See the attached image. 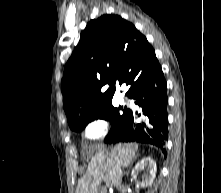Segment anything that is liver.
<instances>
[{
    "label": "liver",
    "mask_w": 221,
    "mask_h": 193,
    "mask_svg": "<svg viewBox=\"0 0 221 193\" xmlns=\"http://www.w3.org/2000/svg\"><path fill=\"white\" fill-rule=\"evenodd\" d=\"M138 151L133 143L117 144L110 149H100L92 156L87 172L79 180L76 193H99L101 182L106 186L121 187L123 171Z\"/></svg>",
    "instance_id": "1"
}]
</instances>
